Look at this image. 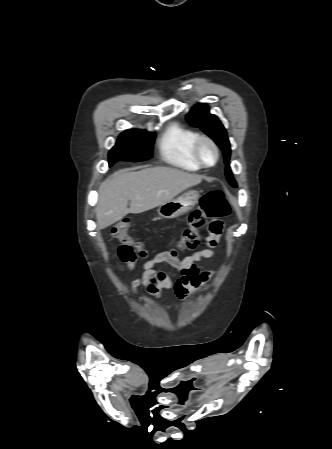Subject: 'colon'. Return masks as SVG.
Returning <instances> with one entry per match:
<instances>
[{
    "label": "colon",
    "instance_id": "obj_1",
    "mask_svg": "<svg viewBox=\"0 0 332 449\" xmlns=\"http://www.w3.org/2000/svg\"><path fill=\"white\" fill-rule=\"evenodd\" d=\"M231 212V206L224 193L220 190L206 193L200 200L199 206L189 215L188 226L183 230L178 245L185 250H194L200 244V233L208 222L210 224L227 217ZM131 222L128 219L118 221L112 228L113 236L120 241L118 249L119 259L128 264L135 261L137 253L142 247L128 234ZM210 227V225H209ZM217 231L216 228H213Z\"/></svg>",
    "mask_w": 332,
    "mask_h": 449
}]
</instances>
